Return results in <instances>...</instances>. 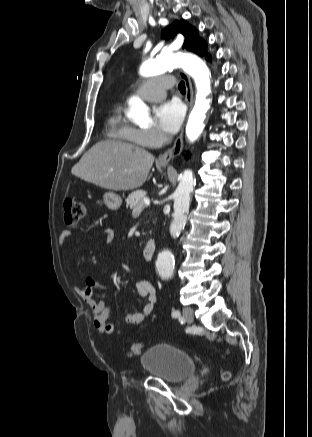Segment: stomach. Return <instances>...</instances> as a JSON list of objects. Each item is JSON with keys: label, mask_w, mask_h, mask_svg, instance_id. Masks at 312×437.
Listing matches in <instances>:
<instances>
[{"label": "stomach", "mask_w": 312, "mask_h": 437, "mask_svg": "<svg viewBox=\"0 0 312 437\" xmlns=\"http://www.w3.org/2000/svg\"><path fill=\"white\" fill-rule=\"evenodd\" d=\"M164 166V165H162ZM103 203L110 210H118L122 205V199L114 192H106L103 195Z\"/></svg>", "instance_id": "obj_1"}]
</instances>
